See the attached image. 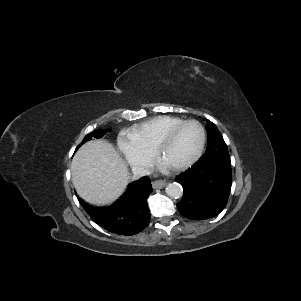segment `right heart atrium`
<instances>
[{"label":"right heart atrium","instance_id":"d8ad5b80","mask_svg":"<svg viewBox=\"0 0 301 301\" xmlns=\"http://www.w3.org/2000/svg\"><path fill=\"white\" fill-rule=\"evenodd\" d=\"M117 142L125 160L134 170H145L152 164V152L144 149L128 134H121Z\"/></svg>","mask_w":301,"mask_h":301}]
</instances>
